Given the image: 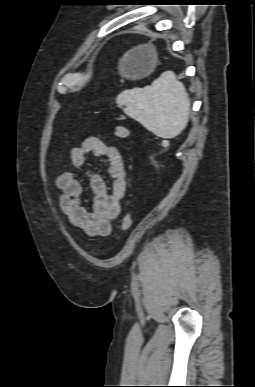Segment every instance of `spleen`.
<instances>
[{
  "label": "spleen",
  "mask_w": 255,
  "mask_h": 387,
  "mask_svg": "<svg viewBox=\"0 0 255 387\" xmlns=\"http://www.w3.org/2000/svg\"><path fill=\"white\" fill-rule=\"evenodd\" d=\"M118 107L161 138L180 134L189 121L190 99L172 71L160 75L150 86L122 91Z\"/></svg>",
  "instance_id": "1"
}]
</instances>
